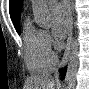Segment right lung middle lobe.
Here are the masks:
<instances>
[{
    "label": "right lung middle lobe",
    "mask_w": 89,
    "mask_h": 89,
    "mask_svg": "<svg viewBox=\"0 0 89 89\" xmlns=\"http://www.w3.org/2000/svg\"><path fill=\"white\" fill-rule=\"evenodd\" d=\"M18 32V34H20V29L16 30Z\"/></svg>",
    "instance_id": "dd1d6c3e"
}]
</instances>
